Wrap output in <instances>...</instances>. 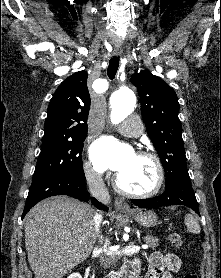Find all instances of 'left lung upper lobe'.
Segmentation results:
<instances>
[{
    "label": "left lung upper lobe",
    "instance_id": "obj_1",
    "mask_svg": "<svg viewBox=\"0 0 221 278\" xmlns=\"http://www.w3.org/2000/svg\"><path fill=\"white\" fill-rule=\"evenodd\" d=\"M130 80L137 87L142 117L163 164L167 185L188 174L177 95L160 77L146 70Z\"/></svg>",
    "mask_w": 221,
    "mask_h": 278
}]
</instances>
